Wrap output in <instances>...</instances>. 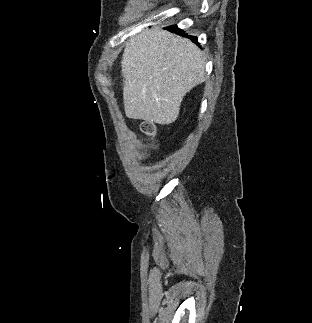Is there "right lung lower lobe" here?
<instances>
[{"mask_svg": "<svg viewBox=\"0 0 312 323\" xmlns=\"http://www.w3.org/2000/svg\"><path fill=\"white\" fill-rule=\"evenodd\" d=\"M166 29H168L170 31H174L175 33H177L179 35H182V36H185V37H189L190 39H192L193 42H195L197 45H199L198 42H197V38L196 37L188 36L184 31L180 30L175 25L169 26Z\"/></svg>", "mask_w": 312, "mask_h": 323, "instance_id": "1", "label": "right lung lower lobe"}]
</instances>
